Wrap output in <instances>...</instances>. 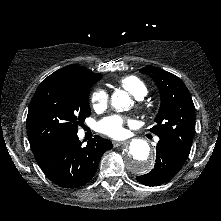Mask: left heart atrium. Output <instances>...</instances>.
Masks as SVG:
<instances>
[{"instance_id": "1", "label": "left heart atrium", "mask_w": 221, "mask_h": 221, "mask_svg": "<svg viewBox=\"0 0 221 221\" xmlns=\"http://www.w3.org/2000/svg\"><path fill=\"white\" fill-rule=\"evenodd\" d=\"M126 123L131 121L117 115L108 116L99 123V130L112 138H121L126 134Z\"/></svg>"}]
</instances>
